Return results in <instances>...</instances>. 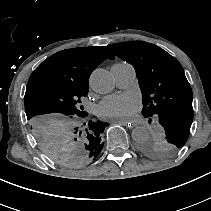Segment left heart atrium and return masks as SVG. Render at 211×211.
<instances>
[{"mask_svg":"<svg viewBox=\"0 0 211 211\" xmlns=\"http://www.w3.org/2000/svg\"><path fill=\"white\" fill-rule=\"evenodd\" d=\"M141 108L140 100L133 95H114L104 98L96 113L102 118L121 119L134 115Z\"/></svg>","mask_w":211,"mask_h":211,"instance_id":"obj_1","label":"left heart atrium"}]
</instances>
